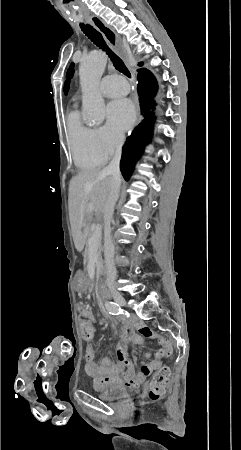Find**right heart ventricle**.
I'll use <instances>...</instances> for the list:
<instances>
[{"label": "right heart ventricle", "instance_id": "e07e8e85", "mask_svg": "<svg viewBox=\"0 0 241 450\" xmlns=\"http://www.w3.org/2000/svg\"><path fill=\"white\" fill-rule=\"evenodd\" d=\"M93 131L82 123L77 111L68 114L67 137L74 162L79 168L99 167L106 162V158L96 151ZM98 142L100 144L99 137Z\"/></svg>", "mask_w": 241, "mask_h": 450}]
</instances>
